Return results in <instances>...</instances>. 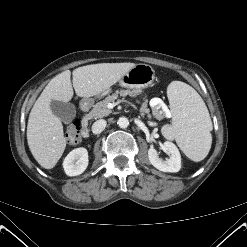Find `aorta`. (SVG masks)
<instances>
[{"label":"aorta","mask_w":247,"mask_h":247,"mask_svg":"<svg viewBox=\"0 0 247 247\" xmlns=\"http://www.w3.org/2000/svg\"><path fill=\"white\" fill-rule=\"evenodd\" d=\"M117 124H118L119 127H121V128H126V127H128V125H129V120H128L126 117H120V118L118 119Z\"/></svg>","instance_id":"obj_1"}]
</instances>
